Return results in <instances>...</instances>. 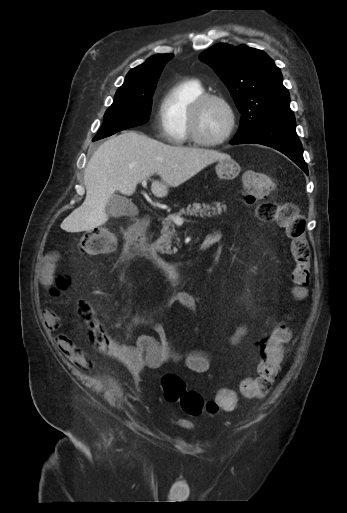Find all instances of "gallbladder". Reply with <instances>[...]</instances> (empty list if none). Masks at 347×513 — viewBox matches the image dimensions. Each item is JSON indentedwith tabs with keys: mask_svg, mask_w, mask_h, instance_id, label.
<instances>
[{
	"mask_svg": "<svg viewBox=\"0 0 347 513\" xmlns=\"http://www.w3.org/2000/svg\"><path fill=\"white\" fill-rule=\"evenodd\" d=\"M107 213L114 218L122 216H135L138 212L137 207L127 198L119 195H113L107 205Z\"/></svg>",
	"mask_w": 347,
	"mask_h": 513,
	"instance_id": "obj_1",
	"label": "gallbladder"
}]
</instances>
